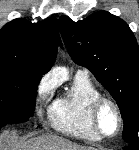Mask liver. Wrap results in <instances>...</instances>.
<instances>
[{
  "label": "liver",
  "mask_w": 139,
  "mask_h": 150,
  "mask_svg": "<svg viewBox=\"0 0 139 150\" xmlns=\"http://www.w3.org/2000/svg\"><path fill=\"white\" fill-rule=\"evenodd\" d=\"M14 134L5 132L0 136V150H95L93 147L81 146L58 136H40L15 146Z\"/></svg>",
  "instance_id": "obj_1"
}]
</instances>
